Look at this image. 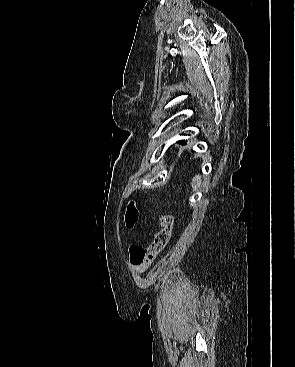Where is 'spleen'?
Segmentation results:
<instances>
[{
    "label": "spleen",
    "mask_w": 295,
    "mask_h": 367,
    "mask_svg": "<svg viewBox=\"0 0 295 367\" xmlns=\"http://www.w3.org/2000/svg\"><path fill=\"white\" fill-rule=\"evenodd\" d=\"M192 188L193 189H198L200 184H201V177L198 175V176H195L193 179H192Z\"/></svg>",
    "instance_id": "1"
}]
</instances>
